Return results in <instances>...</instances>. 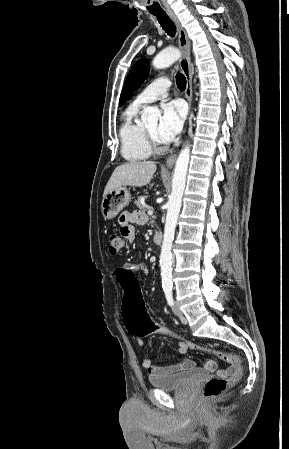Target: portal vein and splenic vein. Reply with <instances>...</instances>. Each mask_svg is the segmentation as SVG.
Returning a JSON list of instances; mask_svg holds the SVG:
<instances>
[{"mask_svg": "<svg viewBox=\"0 0 289 449\" xmlns=\"http://www.w3.org/2000/svg\"><path fill=\"white\" fill-rule=\"evenodd\" d=\"M152 214H153V208H149L148 215H152Z\"/></svg>", "mask_w": 289, "mask_h": 449, "instance_id": "obj_1", "label": "portal vein and splenic vein"}]
</instances>
